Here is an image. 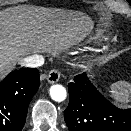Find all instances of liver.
Returning a JSON list of instances; mask_svg holds the SVG:
<instances>
[{"mask_svg": "<svg viewBox=\"0 0 131 131\" xmlns=\"http://www.w3.org/2000/svg\"><path fill=\"white\" fill-rule=\"evenodd\" d=\"M86 16L16 6L0 11V79L24 56L56 52L82 40L92 29Z\"/></svg>", "mask_w": 131, "mask_h": 131, "instance_id": "liver-1", "label": "liver"}]
</instances>
